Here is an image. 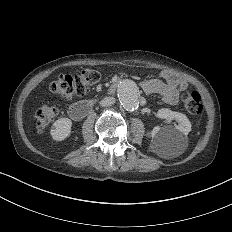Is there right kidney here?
Masks as SVG:
<instances>
[{"label":"right kidney","instance_id":"ca27d5eb","mask_svg":"<svg viewBox=\"0 0 232 232\" xmlns=\"http://www.w3.org/2000/svg\"><path fill=\"white\" fill-rule=\"evenodd\" d=\"M72 122L68 118H61L54 122L50 131L51 136L54 140H64L71 131Z\"/></svg>","mask_w":232,"mask_h":232}]
</instances>
